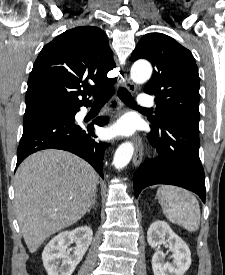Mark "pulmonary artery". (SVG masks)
<instances>
[{
  "instance_id": "pulmonary-artery-1",
  "label": "pulmonary artery",
  "mask_w": 225,
  "mask_h": 275,
  "mask_svg": "<svg viewBox=\"0 0 225 275\" xmlns=\"http://www.w3.org/2000/svg\"><path fill=\"white\" fill-rule=\"evenodd\" d=\"M138 104L142 108H151L154 105V100L152 97L145 94L139 95Z\"/></svg>"
}]
</instances>
